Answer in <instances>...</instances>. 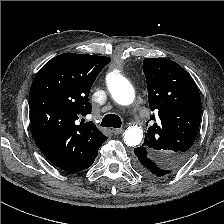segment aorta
<instances>
[{
	"instance_id": "obj_1",
	"label": "aorta",
	"mask_w": 224,
	"mask_h": 224,
	"mask_svg": "<svg viewBox=\"0 0 224 224\" xmlns=\"http://www.w3.org/2000/svg\"><path fill=\"white\" fill-rule=\"evenodd\" d=\"M107 86L115 102L127 106L133 103L135 92L130 82L117 72L107 76ZM143 138V130L138 126L128 127L123 135L124 143L127 146L138 145Z\"/></svg>"
}]
</instances>
